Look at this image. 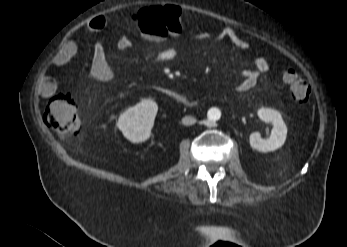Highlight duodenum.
<instances>
[{"mask_svg": "<svg viewBox=\"0 0 347 247\" xmlns=\"http://www.w3.org/2000/svg\"><path fill=\"white\" fill-rule=\"evenodd\" d=\"M169 97L171 99H173L174 101H176L177 103L183 105V106H193L196 101L191 99V98H188L186 95H184L183 93H180V92H177V91H172L170 94H169Z\"/></svg>", "mask_w": 347, "mask_h": 247, "instance_id": "1", "label": "duodenum"}]
</instances>
